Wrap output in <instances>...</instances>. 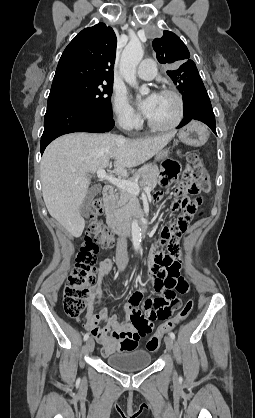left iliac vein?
Listing matches in <instances>:
<instances>
[{
	"instance_id": "4c4485c4",
	"label": "left iliac vein",
	"mask_w": 255,
	"mask_h": 418,
	"mask_svg": "<svg viewBox=\"0 0 255 418\" xmlns=\"http://www.w3.org/2000/svg\"><path fill=\"white\" fill-rule=\"evenodd\" d=\"M165 344H166V348L169 352H172L173 348H174V343H173V339L170 336H166L164 338Z\"/></svg>"
}]
</instances>
